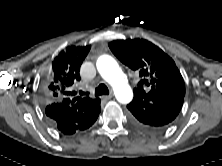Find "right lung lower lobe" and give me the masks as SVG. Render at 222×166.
Segmentation results:
<instances>
[{"instance_id": "1", "label": "right lung lower lobe", "mask_w": 222, "mask_h": 166, "mask_svg": "<svg viewBox=\"0 0 222 166\" xmlns=\"http://www.w3.org/2000/svg\"><path fill=\"white\" fill-rule=\"evenodd\" d=\"M100 99L98 98L94 107L79 116V110L69 99L60 101L49 100L45 113L51 125L66 135H71L78 130L89 128L100 113Z\"/></svg>"}]
</instances>
